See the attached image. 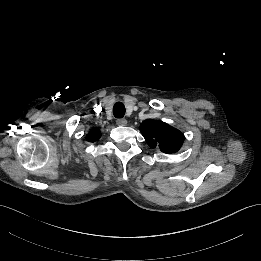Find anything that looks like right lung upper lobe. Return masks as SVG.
<instances>
[{
    "label": "right lung upper lobe",
    "instance_id": "cb5924a9",
    "mask_svg": "<svg viewBox=\"0 0 261 261\" xmlns=\"http://www.w3.org/2000/svg\"><path fill=\"white\" fill-rule=\"evenodd\" d=\"M101 136V132L98 128H93L86 136V139L90 142L98 140Z\"/></svg>",
    "mask_w": 261,
    "mask_h": 261
}]
</instances>
